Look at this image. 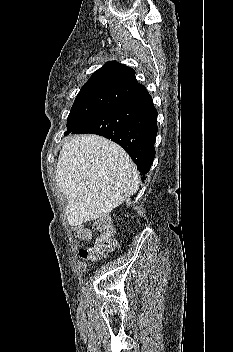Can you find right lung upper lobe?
I'll use <instances>...</instances> for the list:
<instances>
[{"mask_svg": "<svg viewBox=\"0 0 233 352\" xmlns=\"http://www.w3.org/2000/svg\"><path fill=\"white\" fill-rule=\"evenodd\" d=\"M134 75L135 71L131 67L111 61L95 71L82 88L115 85L133 88L137 92L145 90V86L138 83Z\"/></svg>", "mask_w": 233, "mask_h": 352, "instance_id": "obj_1", "label": "right lung upper lobe"}]
</instances>
